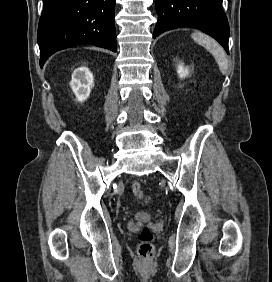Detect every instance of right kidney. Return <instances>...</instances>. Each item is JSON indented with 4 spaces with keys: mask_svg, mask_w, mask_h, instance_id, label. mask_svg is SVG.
<instances>
[{
    "mask_svg": "<svg viewBox=\"0 0 272 282\" xmlns=\"http://www.w3.org/2000/svg\"><path fill=\"white\" fill-rule=\"evenodd\" d=\"M93 85L94 77L87 67L83 66L74 70L70 86L79 102L89 97Z\"/></svg>",
    "mask_w": 272,
    "mask_h": 282,
    "instance_id": "1",
    "label": "right kidney"
}]
</instances>
